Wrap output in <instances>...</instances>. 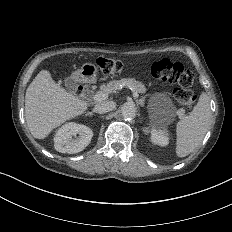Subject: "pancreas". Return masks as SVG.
<instances>
[{
	"label": "pancreas",
	"instance_id": "pancreas-1",
	"mask_svg": "<svg viewBox=\"0 0 232 232\" xmlns=\"http://www.w3.org/2000/svg\"><path fill=\"white\" fill-rule=\"evenodd\" d=\"M122 88H130L133 92L139 93V94H145L147 92V88L143 85L142 82L136 81L134 79H128L125 78L122 80H113L109 82L106 86H101L100 91L101 93L105 94H115L119 89ZM142 99L145 100V97Z\"/></svg>",
	"mask_w": 232,
	"mask_h": 232
}]
</instances>
